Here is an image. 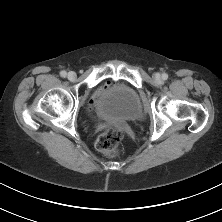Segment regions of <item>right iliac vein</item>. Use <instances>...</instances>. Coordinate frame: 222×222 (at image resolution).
I'll return each instance as SVG.
<instances>
[{
  "mask_svg": "<svg viewBox=\"0 0 222 222\" xmlns=\"http://www.w3.org/2000/svg\"><path fill=\"white\" fill-rule=\"evenodd\" d=\"M67 77L69 80H74L76 78V73L73 72V71H70L68 74H67Z\"/></svg>",
  "mask_w": 222,
  "mask_h": 222,
  "instance_id": "right-iliac-vein-1",
  "label": "right iliac vein"
}]
</instances>
